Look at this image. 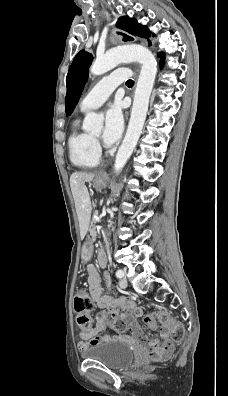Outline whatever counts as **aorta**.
<instances>
[{"label":"aorta","mask_w":228,"mask_h":396,"mask_svg":"<svg viewBox=\"0 0 228 396\" xmlns=\"http://www.w3.org/2000/svg\"><path fill=\"white\" fill-rule=\"evenodd\" d=\"M139 62L142 67L138 78L134 101L125 138L116 154L114 171L119 173L131 156L142 132L149 100L157 74V61L150 50L139 45L114 48L98 57L90 68L93 75H101L120 63ZM103 126V117L89 112L83 121L85 131H99Z\"/></svg>","instance_id":"obj_1"}]
</instances>
